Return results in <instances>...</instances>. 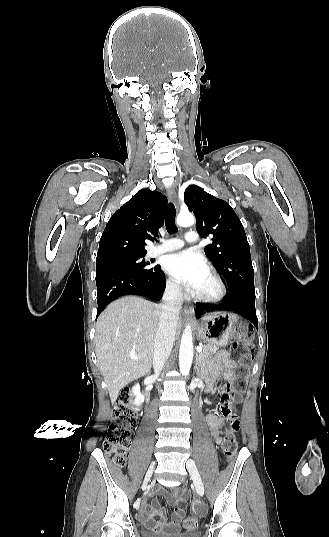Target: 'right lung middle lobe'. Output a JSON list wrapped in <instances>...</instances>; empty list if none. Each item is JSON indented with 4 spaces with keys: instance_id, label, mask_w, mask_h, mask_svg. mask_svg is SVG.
I'll return each instance as SVG.
<instances>
[{
    "instance_id": "obj_1",
    "label": "right lung middle lobe",
    "mask_w": 329,
    "mask_h": 537,
    "mask_svg": "<svg viewBox=\"0 0 329 537\" xmlns=\"http://www.w3.org/2000/svg\"><path fill=\"white\" fill-rule=\"evenodd\" d=\"M151 262H144L142 257L113 260L100 265H96V271L101 269H119L139 274H149L155 271L158 265L150 266Z\"/></svg>"
}]
</instances>
